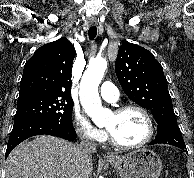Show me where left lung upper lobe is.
<instances>
[{"mask_svg": "<svg viewBox=\"0 0 194 178\" xmlns=\"http://www.w3.org/2000/svg\"><path fill=\"white\" fill-rule=\"evenodd\" d=\"M115 71L126 95L151 110L157 123L176 118L162 66L147 49L124 42L118 51Z\"/></svg>", "mask_w": 194, "mask_h": 178, "instance_id": "obj_1", "label": "left lung upper lobe"}]
</instances>
